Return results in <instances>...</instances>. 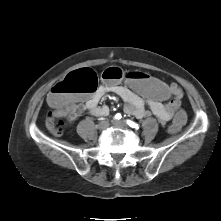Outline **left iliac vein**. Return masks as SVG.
Masks as SVG:
<instances>
[{"mask_svg":"<svg viewBox=\"0 0 221 221\" xmlns=\"http://www.w3.org/2000/svg\"><path fill=\"white\" fill-rule=\"evenodd\" d=\"M113 125L118 127V128H126L127 127L126 122L123 121V120L113 121Z\"/></svg>","mask_w":221,"mask_h":221,"instance_id":"obj_1","label":"left iliac vein"}]
</instances>
